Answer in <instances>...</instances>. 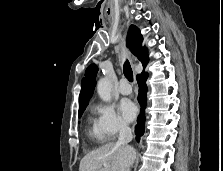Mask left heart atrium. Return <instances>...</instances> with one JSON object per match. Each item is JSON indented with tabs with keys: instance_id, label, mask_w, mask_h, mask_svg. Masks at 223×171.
Instances as JSON below:
<instances>
[{
	"instance_id": "39dd6f15",
	"label": "left heart atrium",
	"mask_w": 223,
	"mask_h": 171,
	"mask_svg": "<svg viewBox=\"0 0 223 171\" xmlns=\"http://www.w3.org/2000/svg\"><path fill=\"white\" fill-rule=\"evenodd\" d=\"M119 111H120L121 115L123 116V118L126 121L130 122L135 118V116L137 114V107L132 101L123 100L120 103Z\"/></svg>"
}]
</instances>
